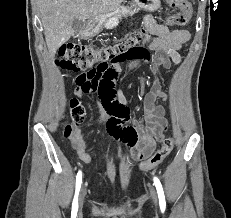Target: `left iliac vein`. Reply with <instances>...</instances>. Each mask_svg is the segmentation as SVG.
I'll use <instances>...</instances> for the list:
<instances>
[{
	"label": "left iliac vein",
	"instance_id": "obj_1",
	"mask_svg": "<svg viewBox=\"0 0 231 218\" xmlns=\"http://www.w3.org/2000/svg\"><path fill=\"white\" fill-rule=\"evenodd\" d=\"M150 196L154 202V204L157 206L158 204V197L155 189L153 187H150Z\"/></svg>",
	"mask_w": 231,
	"mask_h": 218
}]
</instances>
